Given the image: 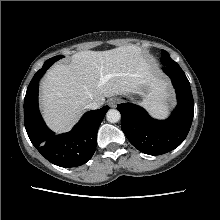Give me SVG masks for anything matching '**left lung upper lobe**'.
Listing matches in <instances>:
<instances>
[{
  "instance_id": "left-lung-upper-lobe-1",
  "label": "left lung upper lobe",
  "mask_w": 220,
  "mask_h": 220,
  "mask_svg": "<svg viewBox=\"0 0 220 220\" xmlns=\"http://www.w3.org/2000/svg\"><path fill=\"white\" fill-rule=\"evenodd\" d=\"M161 63L165 66L178 65V63L171 59L170 55L165 50H162Z\"/></svg>"
}]
</instances>
